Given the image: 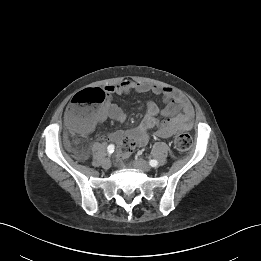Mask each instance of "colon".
Returning a JSON list of instances; mask_svg holds the SVG:
<instances>
[{"instance_id": "1", "label": "colon", "mask_w": 261, "mask_h": 261, "mask_svg": "<svg viewBox=\"0 0 261 261\" xmlns=\"http://www.w3.org/2000/svg\"><path fill=\"white\" fill-rule=\"evenodd\" d=\"M106 97L102 89L94 88L79 93L68 105V123L72 130L81 134L86 132L92 125V115ZM192 145V139L185 132L178 133L174 139V146L178 151H187ZM134 141L125 138L118 149L120 157H126L134 150Z\"/></svg>"}]
</instances>
